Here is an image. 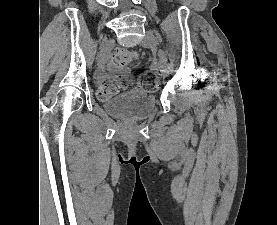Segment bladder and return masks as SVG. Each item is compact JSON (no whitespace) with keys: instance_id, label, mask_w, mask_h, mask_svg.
Wrapping results in <instances>:
<instances>
[{"instance_id":"bladder-1","label":"bladder","mask_w":277,"mask_h":225,"mask_svg":"<svg viewBox=\"0 0 277 225\" xmlns=\"http://www.w3.org/2000/svg\"><path fill=\"white\" fill-rule=\"evenodd\" d=\"M155 105V95L143 90H131L113 96L105 102V108L110 114L129 120L146 118L152 113Z\"/></svg>"}]
</instances>
